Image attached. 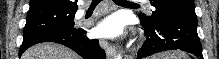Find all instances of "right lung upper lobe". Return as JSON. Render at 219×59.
<instances>
[{"instance_id":"obj_1","label":"right lung upper lobe","mask_w":219,"mask_h":59,"mask_svg":"<svg viewBox=\"0 0 219 59\" xmlns=\"http://www.w3.org/2000/svg\"><path fill=\"white\" fill-rule=\"evenodd\" d=\"M78 0H30L29 12L42 11L47 9H60L66 11H76Z\"/></svg>"}]
</instances>
